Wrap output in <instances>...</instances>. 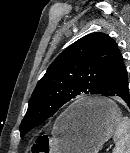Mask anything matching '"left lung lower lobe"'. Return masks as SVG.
<instances>
[{"label":"left lung lower lobe","instance_id":"obj_1","mask_svg":"<svg viewBox=\"0 0 130 153\" xmlns=\"http://www.w3.org/2000/svg\"><path fill=\"white\" fill-rule=\"evenodd\" d=\"M99 94L120 98L130 107L127 71L120 53L108 71ZM85 110L86 108H82L77 111V114L83 113Z\"/></svg>","mask_w":130,"mask_h":153}]
</instances>
